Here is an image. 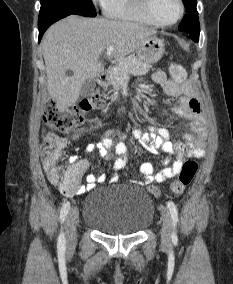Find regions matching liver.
Wrapping results in <instances>:
<instances>
[{"label":"liver","instance_id":"obj_1","mask_svg":"<svg viewBox=\"0 0 233 284\" xmlns=\"http://www.w3.org/2000/svg\"><path fill=\"white\" fill-rule=\"evenodd\" d=\"M156 30L128 21L66 17L45 33L42 53L47 90L60 111L75 104L85 80L104 71L99 56L114 46L112 57L122 59L137 51ZM72 70L71 76L66 75Z\"/></svg>","mask_w":233,"mask_h":284}]
</instances>
